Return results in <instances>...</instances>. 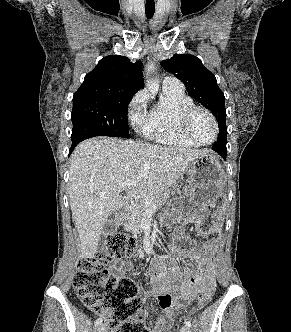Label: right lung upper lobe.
<instances>
[{
  "label": "right lung upper lobe",
  "instance_id": "obj_1",
  "mask_svg": "<svg viewBox=\"0 0 291 332\" xmlns=\"http://www.w3.org/2000/svg\"><path fill=\"white\" fill-rule=\"evenodd\" d=\"M144 86L142 63H131L125 56L104 57L88 73L73 99L103 95L133 96Z\"/></svg>",
  "mask_w": 291,
  "mask_h": 332
}]
</instances>
